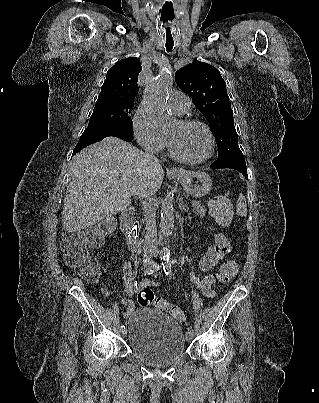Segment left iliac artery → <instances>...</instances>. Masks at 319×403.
<instances>
[{
	"instance_id": "obj_1",
	"label": "left iliac artery",
	"mask_w": 319,
	"mask_h": 403,
	"mask_svg": "<svg viewBox=\"0 0 319 403\" xmlns=\"http://www.w3.org/2000/svg\"><path fill=\"white\" fill-rule=\"evenodd\" d=\"M163 270H164V273L166 274V276H168V275L171 274V264H170V262H165V263H164ZM189 334H192V335H193V334H194V331L191 330V331L189 332Z\"/></svg>"
}]
</instances>
